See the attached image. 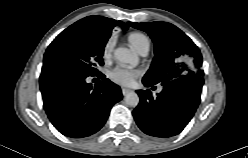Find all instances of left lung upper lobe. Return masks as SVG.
<instances>
[{"label": "left lung upper lobe", "mask_w": 248, "mask_h": 158, "mask_svg": "<svg viewBox=\"0 0 248 158\" xmlns=\"http://www.w3.org/2000/svg\"><path fill=\"white\" fill-rule=\"evenodd\" d=\"M129 24L147 32L155 44V58L143 79L166 85L183 76H203L201 52L179 28L166 22Z\"/></svg>", "instance_id": "1"}]
</instances>
